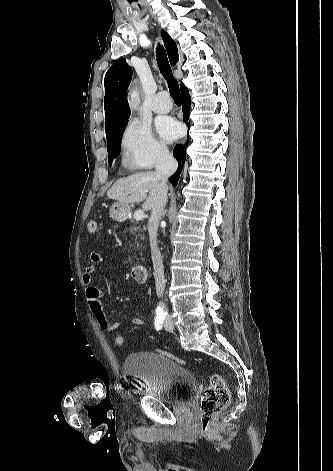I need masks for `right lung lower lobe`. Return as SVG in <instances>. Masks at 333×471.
Returning <instances> with one entry per match:
<instances>
[{
  "mask_svg": "<svg viewBox=\"0 0 333 471\" xmlns=\"http://www.w3.org/2000/svg\"><path fill=\"white\" fill-rule=\"evenodd\" d=\"M181 104H182V111H183V122L189 126V113L191 107V98L189 95V91L186 86L181 88ZM186 144H176L173 151V156L178 161V169L177 171L170 177V182L176 186L179 180L180 173L183 170V166L186 159Z\"/></svg>",
  "mask_w": 333,
  "mask_h": 471,
  "instance_id": "1",
  "label": "right lung lower lobe"
}]
</instances>
